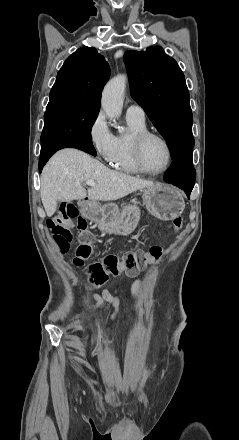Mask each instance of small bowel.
<instances>
[{"instance_id":"1","label":"small bowel","mask_w":239,"mask_h":440,"mask_svg":"<svg viewBox=\"0 0 239 440\" xmlns=\"http://www.w3.org/2000/svg\"><path fill=\"white\" fill-rule=\"evenodd\" d=\"M141 285L142 282L141 280L137 279L134 281L132 288H131V296L133 298H137L139 293H140V289H141ZM117 290L116 289H111V288H107L105 290H103L101 293H96L92 296V304L89 307L90 311L95 310L96 308H98L104 301L109 302L113 308L114 311L111 314V320L115 321L118 315V311L120 308V298L117 295ZM122 296L123 298L127 299L128 296L122 292ZM129 319V315L127 317ZM104 321L102 320H94L92 322L89 323L88 326L92 327V328H97L98 326H100L101 324H103ZM86 339L90 342H92L93 338L87 336Z\"/></svg>"}]
</instances>
